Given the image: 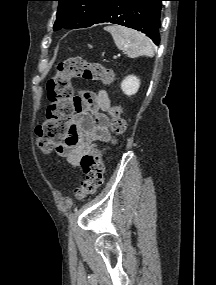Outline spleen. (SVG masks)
I'll list each match as a JSON object with an SVG mask.
<instances>
[{
  "label": "spleen",
  "mask_w": 216,
  "mask_h": 285,
  "mask_svg": "<svg viewBox=\"0 0 216 285\" xmlns=\"http://www.w3.org/2000/svg\"><path fill=\"white\" fill-rule=\"evenodd\" d=\"M104 30L111 33L117 48L126 52L128 57L154 56L152 44L144 34L123 26H107Z\"/></svg>",
  "instance_id": "spleen-1"
}]
</instances>
